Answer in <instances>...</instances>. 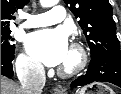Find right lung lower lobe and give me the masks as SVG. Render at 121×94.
<instances>
[{
	"mask_svg": "<svg viewBox=\"0 0 121 94\" xmlns=\"http://www.w3.org/2000/svg\"><path fill=\"white\" fill-rule=\"evenodd\" d=\"M13 59L14 53H1V75L6 77H13Z\"/></svg>",
	"mask_w": 121,
	"mask_h": 94,
	"instance_id": "98d812e1",
	"label": "right lung lower lobe"
}]
</instances>
